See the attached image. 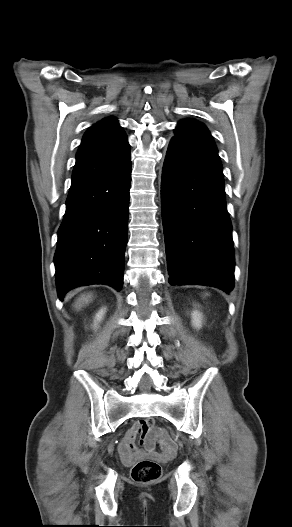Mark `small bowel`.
I'll list each match as a JSON object with an SVG mask.
<instances>
[{"instance_id":"obj_1","label":"small bowel","mask_w":292,"mask_h":527,"mask_svg":"<svg viewBox=\"0 0 292 527\" xmlns=\"http://www.w3.org/2000/svg\"><path fill=\"white\" fill-rule=\"evenodd\" d=\"M138 437H140L139 444ZM155 438L159 439L160 453L154 450ZM118 452L124 461V468L130 470L133 468L135 460L145 456H150V461L154 465L159 464L160 461L163 464H168L170 457L175 453V446L163 427L146 431L142 428L141 423H138L127 432L118 446Z\"/></svg>"}]
</instances>
